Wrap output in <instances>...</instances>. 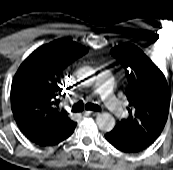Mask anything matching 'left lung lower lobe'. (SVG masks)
<instances>
[{
	"label": "left lung lower lobe",
	"mask_w": 173,
	"mask_h": 170,
	"mask_svg": "<svg viewBox=\"0 0 173 170\" xmlns=\"http://www.w3.org/2000/svg\"><path fill=\"white\" fill-rule=\"evenodd\" d=\"M106 140L111 143L116 149L125 152V153H137L140 152L147 147L138 145L123 137L120 133L110 131L105 135Z\"/></svg>",
	"instance_id": "1"
}]
</instances>
